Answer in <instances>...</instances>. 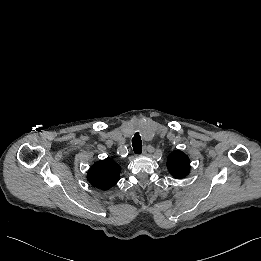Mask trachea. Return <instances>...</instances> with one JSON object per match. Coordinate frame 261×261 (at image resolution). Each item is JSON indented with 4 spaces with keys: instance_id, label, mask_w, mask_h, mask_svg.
Segmentation results:
<instances>
[{
    "instance_id": "1",
    "label": "trachea",
    "mask_w": 261,
    "mask_h": 261,
    "mask_svg": "<svg viewBox=\"0 0 261 261\" xmlns=\"http://www.w3.org/2000/svg\"><path fill=\"white\" fill-rule=\"evenodd\" d=\"M132 146L135 154L142 153V141L139 133H136L135 136L132 138Z\"/></svg>"
}]
</instances>
